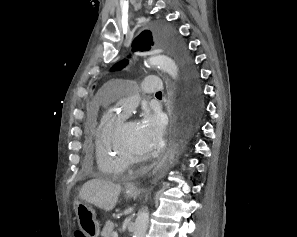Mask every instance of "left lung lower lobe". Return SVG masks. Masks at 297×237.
<instances>
[{
    "mask_svg": "<svg viewBox=\"0 0 297 237\" xmlns=\"http://www.w3.org/2000/svg\"><path fill=\"white\" fill-rule=\"evenodd\" d=\"M184 131H189L197 123L202 111L201 105H197L193 99L184 96L179 106Z\"/></svg>",
    "mask_w": 297,
    "mask_h": 237,
    "instance_id": "0a47b994",
    "label": "left lung lower lobe"
}]
</instances>
